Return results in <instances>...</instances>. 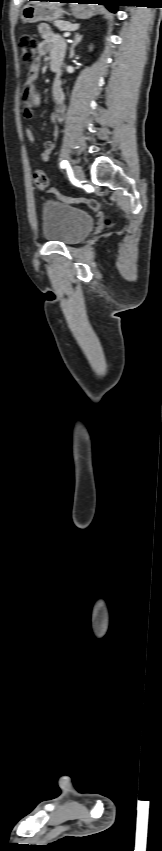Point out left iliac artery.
Returning a JSON list of instances; mask_svg holds the SVG:
<instances>
[{"instance_id":"left-iliac-artery-1","label":"left iliac artery","mask_w":162,"mask_h":851,"mask_svg":"<svg viewBox=\"0 0 162 851\" xmlns=\"http://www.w3.org/2000/svg\"><path fill=\"white\" fill-rule=\"evenodd\" d=\"M60 166H61V168H66V167H68V166H69V163H68V161H67V160H63V161L60 163Z\"/></svg>"}]
</instances>
